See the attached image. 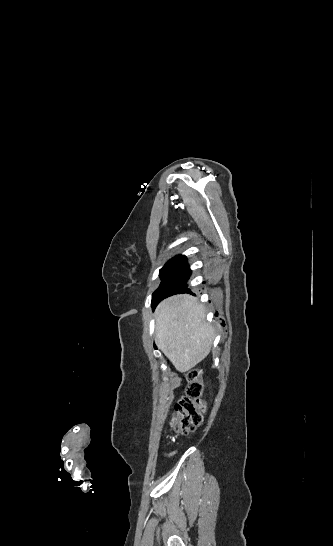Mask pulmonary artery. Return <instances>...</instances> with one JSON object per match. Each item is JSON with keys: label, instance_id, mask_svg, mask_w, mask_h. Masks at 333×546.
<instances>
[{"label": "pulmonary artery", "instance_id": "obj_1", "mask_svg": "<svg viewBox=\"0 0 333 546\" xmlns=\"http://www.w3.org/2000/svg\"><path fill=\"white\" fill-rule=\"evenodd\" d=\"M272 14H283V13H272Z\"/></svg>", "mask_w": 333, "mask_h": 546}]
</instances>
